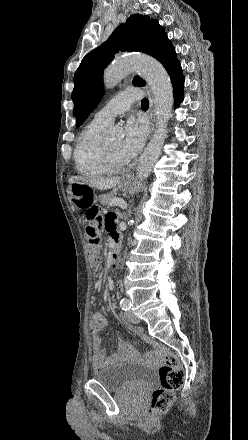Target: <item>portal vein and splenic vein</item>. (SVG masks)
Instances as JSON below:
<instances>
[{
    "label": "portal vein and splenic vein",
    "mask_w": 248,
    "mask_h": 440,
    "mask_svg": "<svg viewBox=\"0 0 248 440\" xmlns=\"http://www.w3.org/2000/svg\"><path fill=\"white\" fill-rule=\"evenodd\" d=\"M111 206H119L123 209L127 208V203L123 199L114 198L111 201Z\"/></svg>",
    "instance_id": "obj_1"
}]
</instances>
